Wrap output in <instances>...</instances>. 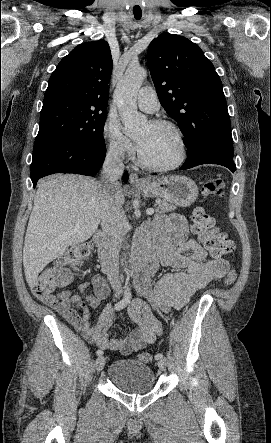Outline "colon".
Masks as SVG:
<instances>
[{"instance_id": "5ec220e1", "label": "colon", "mask_w": 271, "mask_h": 443, "mask_svg": "<svg viewBox=\"0 0 271 443\" xmlns=\"http://www.w3.org/2000/svg\"><path fill=\"white\" fill-rule=\"evenodd\" d=\"M226 185L223 179L213 178L203 186L207 196L223 197ZM192 230L198 236L206 250L213 257H222L234 250V243L215 224V220L204 209H196L192 214ZM91 243H83L71 248L57 262L44 268L31 284L33 295L39 299L51 296V293L70 279V270L77 267L92 253ZM236 280L235 270H230L225 277V285L230 286ZM138 360L148 363L152 357L148 353H140Z\"/></svg>"}]
</instances>
